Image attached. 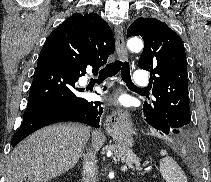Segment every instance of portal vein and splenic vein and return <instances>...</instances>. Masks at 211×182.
Listing matches in <instances>:
<instances>
[{
  "label": "portal vein and splenic vein",
  "mask_w": 211,
  "mask_h": 182,
  "mask_svg": "<svg viewBox=\"0 0 211 182\" xmlns=\"http://www.w3.org/2000/svg\"><path fill=\"white\" fill-rule=\"evenodd\" d=\"M110 153H111V152H110ZM121 171H122V172H126V171H127V167H126V166L121 167Z\"/></svg>",
  "instance_id": "1"
}]
</instances>
